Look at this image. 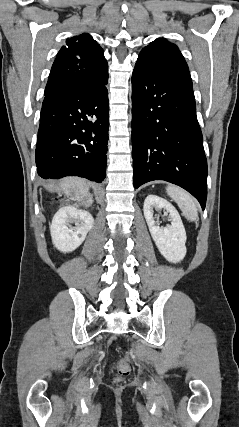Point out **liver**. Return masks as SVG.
Segmentation results:
<instances>
[{"label": "liver", "mask_w": 239, "mask_h": 427, "mask_svg": "<svg viewBox=\"0 0 239 427\" xmlns=\"http://www.w3.org/2000/svg\"><path fill=\"white\" fill-rule=\"evenodd\" d=\"M89 182L79 177H66L59 182V188L67 196H71L73 200L80 202L79 205L88 206L92 200L89 198L86 202L84 201L89 195ZM55 187L50 186L49 190L53 191Z\"/></svg>", "instance_id": "obj_1"}]
</instances>
